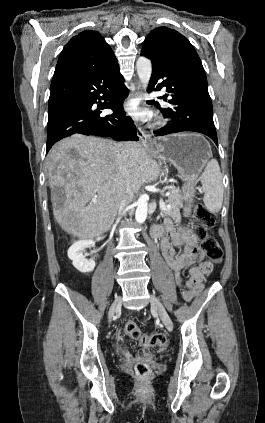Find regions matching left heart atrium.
I'll return each mask as SVG.
<instances>
[{
    "label": "left heart atrium",
    "instance_id": "obj_1",
    "mask_svg": "<svg viewBox=\"0 0 265 423\" xmlns=\"http://www.w3.org/2000/svg\"><path fill=\"white\" fill-rule=\"evenodd\" d=\"M128 111L137 117H144L146 114L144 112H142L141 110H139L136 106V104L132 103L128 106Z\"/></svg>",
    "mask_w": 265,
    "mask_h": 423
}]
</instances>
